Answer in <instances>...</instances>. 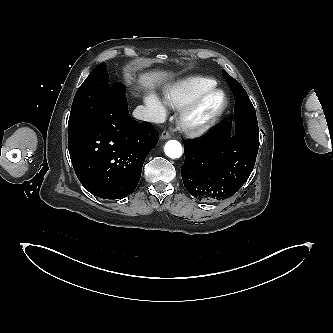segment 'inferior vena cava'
Segmentation results:
<instances>
[{
    "mask_svg": "<svg viewBox=\"0 0 333 333\" xmlns=\"http://www.w3.org/2000/svg\"><path fill=\"white\" fill-rule=\"evenodd\" d=\"M134 118L143 121L156 122L157 118L155 114L144 106H137L133 111Z\"/></svg>",
    "mask_w": 333,
    "mask_h": 333,
    "instance_id": "602c4592",
    "label": "inferior vena cava"
}]
</instances>
